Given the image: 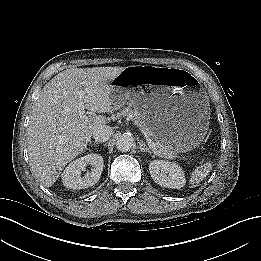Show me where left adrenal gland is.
I'll return each instance as SVG.
<instances>
[{"instance_id":"obj_1","label":"left adrenal gland","mask_w":261,"mask_h":261,"mask_svg":"<svg viewBox=\"0 0 261 261\" xmlns=\"http://www.w3.org/2000/svg\"><path fill=\"white\" fill-rule=\"evenodd\" d=\"M139 146H140L139 148H140L141 152H148L149 154L152 153L151 150L148 147H146V145L143 141L139 142Z\"/></svg>"}]
</instances>
